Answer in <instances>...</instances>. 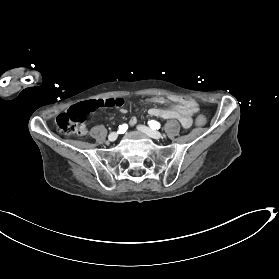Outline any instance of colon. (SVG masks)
Instances as JSON below:
<instances>
[{"instance_id":"obj_1","label":"colon","mask_w":279,"mask_h":279,"mask_svg":"<svg viewBox=\"0 0 279 279\" xmlns=\"http://www.w3.org/2000/svg\"><path fill=\"white\" fill-rule=\"evenodd\" d=\"M177 99L192 113L199 111V104L196 100L187 96H180ZM125 100L123 98H106L91 100L87 102H81L73 105L64 113H61L56 118V125L60 132L64 134H72L81 132V126L86 116L93 110L100 107H119L124 105ZM196 124L198 126H204L206 124V118L204 115H198L196 117Z\"/></svg>"}]
</instances>
